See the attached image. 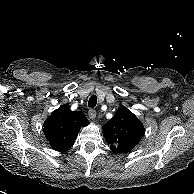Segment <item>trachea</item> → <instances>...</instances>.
I'll use <instances>...</instances> for the list:
<instances>
[{"instance_id": "trachea-1", "label": "trachea", "mask_w": 194, "mask_h": 194, "mask_svg": "<svg viewBox=\"0 0 194 194\" xmlns=\"http://www.w3.org/2000/svg\"><path fill=\"white\" fill-rule=\"evenodd\" d=\"M97 104V97L96 95H92L90 98H89V101H88V106L90 108H94Z\"/></svg>"}]
</instances>
